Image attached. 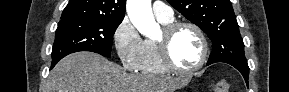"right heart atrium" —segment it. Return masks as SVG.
<instances>
[{"label":"right heart atrium","mask_w":289,"mask_h":92,"mask_svg":"<svg viewBox=\"0 0 289 92\" xmlns=\"http://www.w3.org/2000/svg\"><path fill=\"white\" fill-rule=\"evenodd\" d=\"M113 43L123 67L131 71L138 70L144 56V40L129 18H123L116 27Z\"/></svg>","instance_id":"d8ad5b80"}]
</instances>
